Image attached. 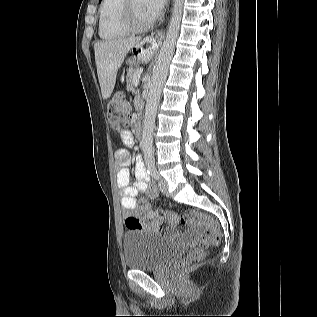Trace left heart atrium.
I'll use <instances>...</instances> for the list:
<instances>
[{"label": "left heart atrium", "mask_w": 317, "mask_h": 317, "mask_svg": "<svg viewBox=\"0 0 317 317\" xmlns=\"http://www.w3.org/2000/svg\"><path fill=\"white\" fill-rule=\"evenodd\" d=\"M166 0H145L146 8L152 19L158 17L161 10L164 8Z\"/></svg>", "instance_id": "39dd6f15"}]
</instances>
